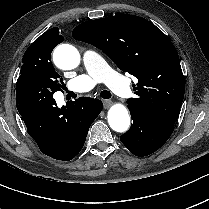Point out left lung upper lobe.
<instances>
[{"label":"left lung upper lobe","instance_id":"1","mask_svg":"<svg viewBox=\"0 0 209 209\" xmlns=\"http://www.w3.org/2000/svg\"><path fill=\"white\" fill-rule=\"evenodd\" d=\"M72 36L99 48L123 72L138 79L133 86L137 97L128 99V106L176 122L184 98V76L174 45L153 23L118 14L83 22Z\"/></svg>","mask_w":209,"mask_h":209}]
</instances>
